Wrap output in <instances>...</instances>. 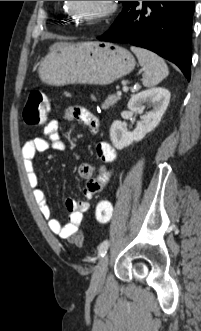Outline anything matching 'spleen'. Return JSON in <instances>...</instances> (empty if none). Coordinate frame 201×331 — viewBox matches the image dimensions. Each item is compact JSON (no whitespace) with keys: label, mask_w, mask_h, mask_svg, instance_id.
Segmentation results:
<instances>
[{"label":"spleen","mask_w":201,"mask_h":331,"mask_svg":"<svg viewBox=\"0 0 201 331\" xmlns=\"http://www.w3.org/2000/svg\"><path fill=\"white\" fill-rule=\"evenodd\" d=\"M131 51L137 56L140 65L144 68L142 84L153 87L159 84L169 74L168 66L157 54L144 48L131 46Z\"/></svg>","instance_id":"3e777b00"}]
</instances>
